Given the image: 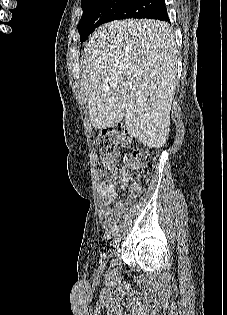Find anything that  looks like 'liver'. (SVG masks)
Wrapping results in <instances>:
<instances>
[{
  "instance_id": "liver-1",
  "label": "liver",
  "mask_w": 227,
  "mask_h": 315,
  "mask_svg": "<svg viewBox=\"0 0 227 315\" xmlns=\"http://www.w3.org/2000/svg\"><path fill=\"white\" fill-rule=\"evenodd\" d=\"M82 56L81 87L91 124L113 127L124 118L134 138L162 147L170 132L178 65L169 24L152 19L104 24Z\"/></svg>"
}]
</instances>
